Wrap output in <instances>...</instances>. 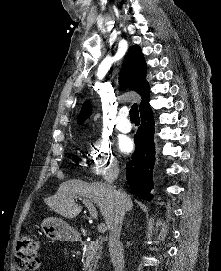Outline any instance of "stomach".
<instances>
[{
	"mask_svg": "<svg viewBox=\"0 0 221 271\" xmlns=\"http://www.w3.org/2000/svg\"><path fill=\"white\" fill-rule=\"evenodd\" d=\"M43 233L48 239H59V241H74L79 239L80 235L74 227H71L67 221L58 219V217H47L41 223Z\"/></svg>",
	"mask_w": 221,
	"mask_h": 271,
	"instance_id": "stomach-1",
	"label": "stomach"
}]
</instances>
